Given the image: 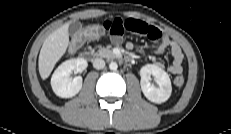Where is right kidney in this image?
Wrapping results in <instances>:
<instances>
[{"label":"right kidney","instance_id":"obj_1","mask_svg":"<svg viewBox=\"0 0 231 134\" xmlns=\"http://www.w3.org/2000/svg\"><path fill=\"white\" fill-rule=\"evenodd\" d=\"M88 63L83 58L70 59L63 62L53 73L51 86L54 93L61 98H71L82 88V77L71 78L70 74L84 71Z\"/></svg>","mask_w":231,"mask_h":134}]
</instances>
